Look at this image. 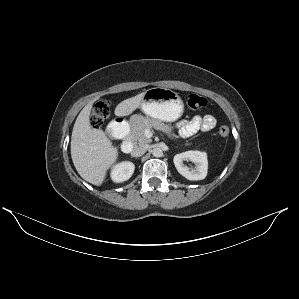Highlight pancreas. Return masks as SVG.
I'll return each instance as SVG.
<instances>
[{"mask_svg":"<svg viewBox=\"0 0 299 299\" xmlns=\"http://www.w3.org/2000/svg\"><path fill=\"white\" fill-rule=\"evenodd\" d=\"M156 129L163 131L166 133L171 139L176 138V136L172 133V127L170 125H166L159 120L151 119L148 117H133L132 119V130L130 134V138L133 141H138L140 144H148L151 142V139L145 137V130ZM186 145L189 146L191 143L186 142Z\"/></svg>","mask_w":299,"mask_h":299,"instance_id":"pancreas-1","label":"pancreas"}]
</instances>
